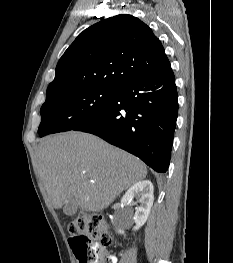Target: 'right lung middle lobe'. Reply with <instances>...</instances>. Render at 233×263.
Masks as SVG:
<instances>
[{
  "mask_svg": "<svg viewBox=\"0 0 233 263\" xmlns=\"http://www.w3.org/2000/svg\"><path fill=\"white\" fill-rule=\"evenodd\" d=\"M116 92L117 89L87 87L47 97L40 110L39 136L73 130L104 111Z\"/></svg>",
  "mask_w": 233,
  "mask_h": 263,
  "instance_id": "1",
  "label": "right lung middle lobe"
}]
</instances>
